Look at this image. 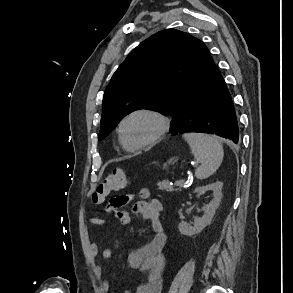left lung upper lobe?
Here are the masks:
<instances>
[{
	"instance_id": "left-lung-upper-lobe-1",
	"label": "left lung upper lobe",
	"mask_w": 293,
	"mask_h": 293,
	"mask_svg": "<svg viewBox=\"0 0 293 293\" xmlns=\"http://www.w3.org/2000/svg\"><path fill=\"white\" fill-rule=\"evenodd\" d=\"M214 62L199 39L165 29L137 46L113 74L102 102L104 139L127 114L159 109L179 122L185 102L206 82Z\"/></svg>"
}]
</instances>
